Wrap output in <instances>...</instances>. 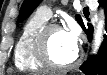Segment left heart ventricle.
<instances>
[{
    "label": "left heart ventricle",
    "instance_id": "obj_1",
    "mask_svg": "<svg viewBox=\"0 0 107 75\" xmlns=\"http://www.w3.org/2000/svg\"><path fill=\"white\" fill-rule=\"evenodd\" d=\"M50 54L55 62L67 64L71 62L77 52L66 39L63 30H53L49 36Z\"/></svg>",
    "mask_w": 107,
    "mask_h": 75
}]
</instances>
